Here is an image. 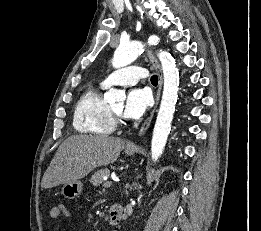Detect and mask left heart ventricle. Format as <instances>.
Returning <instances> with one entry per match:
<instances>
[{
  "label": "left heart ventricle",
  "mask_w": 261,
  "mask_h": 231,
  "mask_svg": "<svg viewBox=\"0 0 261 231\" xmlns=\"http://www.w3.org/2000/svg\"><path fill=\"white\" fill-rule=\"evenodd\" d=\"M122 108H123V104L122 103H119V104H116V105H113L112 106V109L115 110L116 112H122Z\"/></svg>",
  "instance_id": "b2bd125f"
}]
</instances>
